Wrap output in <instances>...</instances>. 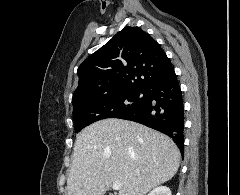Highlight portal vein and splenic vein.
Segmentation results:
<instances>
[{"label": "portal vein and splenic vein", "instance_id": "portal-vein-and-splenic-vein-1", "mask_svg": "<svg viewBox=\"0 0 240 195\" xmlns=\"http://www.w3.org/2000/svg\"><path fill=\"white\" fill-rule=\"evenodd\" d=\"M121 181H113V183H110V187H112V189H121Z\"/></svg>", "mask_w": 240, "mask_h": 195}]
</instances>
